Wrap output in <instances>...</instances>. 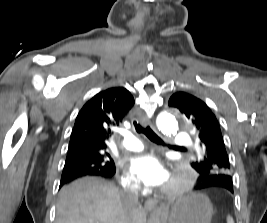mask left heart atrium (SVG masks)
Segmentation results:
<instances>
[{
  "label": "left heart atrium",
  "instance_id": "1",
  "mask_svg": "<svg viewBox=\"0 0 267 223\" xmlns=\"http://www.w3.org/2000/svg\"><path fill=\"white\" fill-rule=\"evenodd\" d=\"M130 171L147 187H162L170 180V173L163 161L154 154L133 157L130 162Z\"/></svg>",
  "mask_w": 267,
  "mask_h": 223
}]
</instances>
